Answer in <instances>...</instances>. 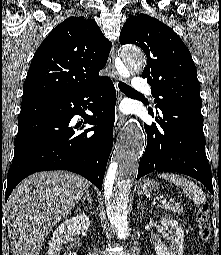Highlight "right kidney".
<instances>
[{"label":"right kidney","mask_w":221,"mask_h":255,"mask_svg":"<svg viewBox=\"0 0 221 255\" xmlns=\"http://www.w3.org/2000/svg\"><path fill=\"white\" fill-rule=\"evenodd\" d=\"M89 226V217L84 213L77 214L70 219H66L53 232L52 238L49 242L48 255H60L63 245L70 240L71 235L79 229L88 230ZM70 255L77 254L70 253Z\"/></svg>","instance_id":"obj_1"}]
</instances>
